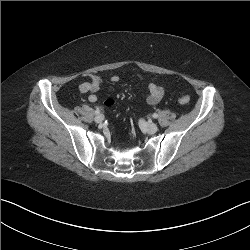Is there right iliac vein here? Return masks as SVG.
I'll use <instances>...</instances> for the list:
<instances>
[{"label": "right iliac vein", "mask_w": 250, "mask_h": 250, "mask_svg": "<svg viewBox=\"0 0 250 250\" xmlns=\"http://www.w3.org/2000/svg\"><path fill=\"white\" fill-rule=\"evenodd\" d=\"M94 120L96 123H102L104 120V116L102 114H98V115H96Z\"/></svg>", "instance_id": "63e3f726"}]
</instances>
